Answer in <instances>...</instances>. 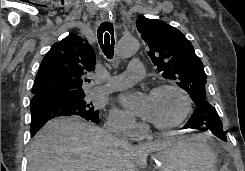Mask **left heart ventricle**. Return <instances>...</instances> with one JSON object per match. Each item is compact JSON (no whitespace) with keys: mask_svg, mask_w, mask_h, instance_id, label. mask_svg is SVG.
Returning <instances> with one entry per match:
<instances>
[{"mask_svg":"<svg viewBox=\"0 0 245 171\" xmlns=\"http://www.w3.org/2000/svg\"><path fill=\"white\" fill-rule=\"evenodd\" d=\"M149 96L153 112L152 122L154 123L169 124L176 120L183 110V100L174 91L167 90Z\"/></svg>","mask_w":245,"mask_h":171,"instance_id":"b2bd125f","label":"left heart ventricle"}]
</instances>
